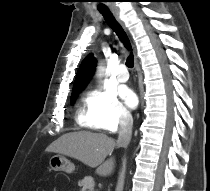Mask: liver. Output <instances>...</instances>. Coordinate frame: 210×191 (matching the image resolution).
<instances>
[{"mask_svg":"<svg viewBox=\"0 0 210 191\" xmlns=\"http://www.w3.org/2000/svg\"><path fill=\"white\" fill-rule=\"evenodd\" d=\"M116 146L115 140L105 134L79 131L62 135L46 151L77 159L91 168H96L97 174L107 176L113 172L115 160L110 158L105 161V158Z\"/></svg>","mask_w":210,"mask_h":191,"instance_id":"6515ba94","label":"liver"}]
</instances>
